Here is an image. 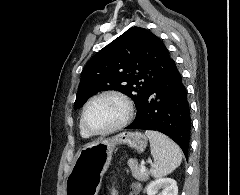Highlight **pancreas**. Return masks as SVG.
Returning a JSON list of instances; mask_svg holds the SVG:
<instances>
[{"label": "pancreas", "instance_id": "pancreas-1", "mask_svg": "<svg viewBox=\"0 0 240 195\" xmlns=\"http://www.w3.org/2000/svg\"><path fill=\"white\" fill-rule=\"evenodd\" d=\"M127 165H129L133 177L135 179H139V181H147L149 179V171L145 169V171H141L140 167H138L137 159H128Z\"/></svg>", "mask_w": 240, "mask_h": 195}]
</instances>
